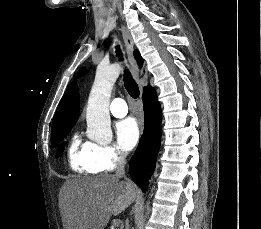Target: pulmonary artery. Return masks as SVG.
Masks as SVG:
<instances>
[{
  "label": "pulmonary artery",
  "instance_id": "pulmonary-artery-1",
  "mask_svg": "<svg viewBox=\"0 0 261 229\" xmlns=\"http://www.w3.org/2000/svg\"><path fill=\"white\" fill-rule=\"evenodd\" d=\"M110 111L113 116L117 118H122L127 115L128 113V108L126 106V103L124 102L123 99H115L110 106Z\"/></svg>",
  "mask_w": 261,
  "mask_h": 229
}]
</instances>
